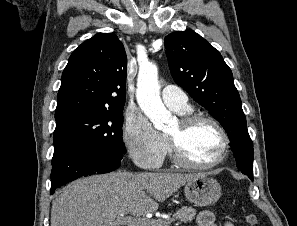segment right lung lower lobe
<instances>
[{
	"label": "right lung lower lobe",
	"mask_w": 297,
	"mask_h": 226,
	"mask_svg": "<svg viewBox=\"0 0 297 226\" xmlns=\"http://www.w3.org/2000/svg\"><path fill=\"white\" fill-rule=\"evenodd\" d=\"M123 155L89 143L66 142L55 145L50 194H53L56 188L79 177L117 169Z\"/></svg>",
	"instance_id": "98d812e1"
}]
</instances>
